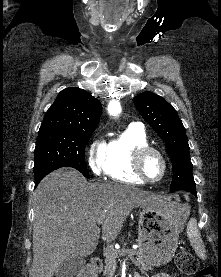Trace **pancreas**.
<instances>
[{"label": "pancreas", "instance_id": "pancreas-1", "mask_svg": "<svg viewBox=\"0 0 221 277\" xmlns=\"http://www.w3.org/2000/svg\"><path fill=\"white\" fill-rule=\"evenodd\" d=\"M124 254H127L130 258H132L134 263L141 270H145V271L152 270V267L150 265H147L140 257L139 250L130 249L127 251H121V250L109 249L106 252L105 267L103 271L104 275L109 276L112 272H114L116 268V259ZM134 256H137V258L134 259Z\"/></svg>", "mask_w": 221, "mask_h": 277}]
</instances>
